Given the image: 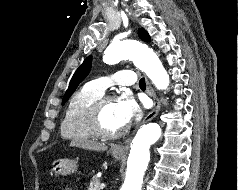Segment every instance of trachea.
<instances>
[{
	"instance_id": "1",
	"label": "trachea",
	"mask_w": 238,
	"mask_h": 190,
	"mask_svg": "<svg viewBox=\"0 0 238 190\" xmlns=\"http://www.w3.org/2000/svg\"><path fill=\"white\" fill-rule=\"evenodd\" d=\"M139 86L141 88H145V78H141L140 81H139Z\"/></svg>"
}]
</instances>
